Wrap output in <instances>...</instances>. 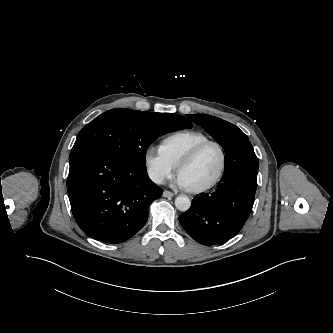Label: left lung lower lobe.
<instances>
[{
  "label": "left lung lower lobe",
  "instance_id": "1",
  "mask_svg": "<svg viewBox=\"0 0 333 333\" xmlns=\"http://www.w3.org/2000/svg\"><path fill=\"white\" fill-rule=\"evenodd\" d=\"M259 162L249 140L229 149L224 175L213 193L196 195L179 216L186 232L197 242L214 245L239 233L254 204Z\"/></svg>",
  "mask_w": 333,
  "mask_h": 333
}]
</instances>
